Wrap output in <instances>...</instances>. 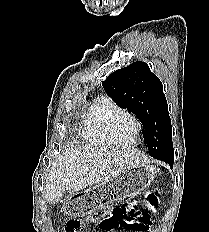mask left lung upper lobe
<instances>
[{"label": "left lung upper lobe", "mask_w": 209, "mask_h": 232, "mask_svg": "<svg viewBox=\"0 0 209 232\" xmlns=\"http://www.w3.org/2000/svg\"><path fill=\"white\" fill-rule=\"evenodd\" d=\"M102 85L119 107L139 118L149 155L172 166L174 149L168 105L162 83L148 65L134 62L110 74Z\"/></svg>", "instance_id": "5c2ea615"}]
</instances>
